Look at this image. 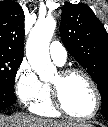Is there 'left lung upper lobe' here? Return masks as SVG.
<instances>
[{"mask_svg": "<svg viewBox=\"0 0 108 127\" xmlns=\"http://www.w3.org/2000/svg\"><path fill=\"white\" fill-rule=\"evenodd\" d=\"M60 34L68 52L87 70L102 96V114L108 120V34L85 4L67 2Z\"/></svg>", "mask_w": 108, "mask_h": 127, "instance_id": "1", "label": "left lung upper lobe"}]
</instances>
